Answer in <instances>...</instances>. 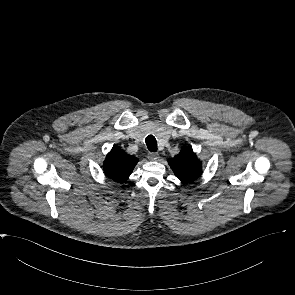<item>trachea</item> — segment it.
Masks as SVG:
<instances>
[{"mask_svg": "<svg viewBox=\"0 0 295 295\" xmlns=\"http://www.w3.org/2000/svg\"><path fill=\"white\" fill-rule=\"evenodd\" d=\"M145 142H146L147 148L150 151H152V152L157 151V141H156V138L153 135L147 136L146 139H145Z\"/></svg>", "mask_w": 295, "mask_h": 295, "instance_id": "trachea-1", "label": "trachea"}]
</instances>
